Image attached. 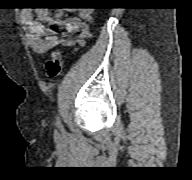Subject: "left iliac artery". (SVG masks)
Instances as JSON below:
<instances>
[{
    "instance_id": "44dca946",
    "label": "left iliac artery",
    "mask_w": 192,
    "mask_h": 180,
    "mask_svg": "<svg viewBox=\"0 0 192 180\" xmlns=\"http://www.w3.org/2000/svg\"><path fill=\"white\" fill-rule=\"evenodd\" d=\"M56 121H57V124L59 125L60 124L59 117H57Z\"/></svg>"
}]
</instances>
